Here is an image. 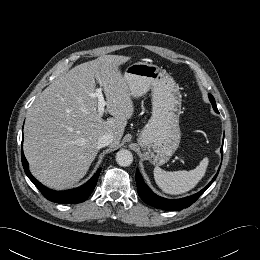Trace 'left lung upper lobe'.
Wrapping results in <instances>:
<instances>
[{
	"mask_svg": "<svg viewBox=\"0 0 260 260\" xmlns=\"http://www.w3.org/2000/svg\"><path fill=\"white\" fill-rule=\"evenodd\" d=\"M209 99H210V102L212 103V106H213V109L215 110V112L219 113L218 109H217V106H216V103H215L214 97L209 94Z\"/></svg>",
	"mask_w": 260,
	"mask_h": 260,
	"instance_id": "1",
	"label": "left lung upper lobe"
}]
</instances>
